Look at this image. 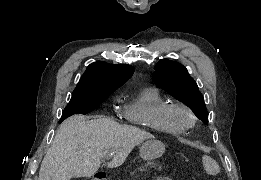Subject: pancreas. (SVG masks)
Wrapping results in <instances>:
<instances>
[{
	"label": "pancreas",
	"instance_id": "pancreas-1",
	"mask_svg": "<svg viewBox=\"0 0 261 180\" xmlns=\"http://www.w3.org/2000/svg\"><path fill=\"white\" fill-rule=\"evenodd\" d=\"M166 166H169V163L164 162L163 159L143 160V162H138V165H136V173H134V170H131V177L145 176L146 170L166 169ZM125 175H128V172H125Z\"/></svg>",
	"mask_w": 261,
	"mask_h": 180
}]
</instances>
